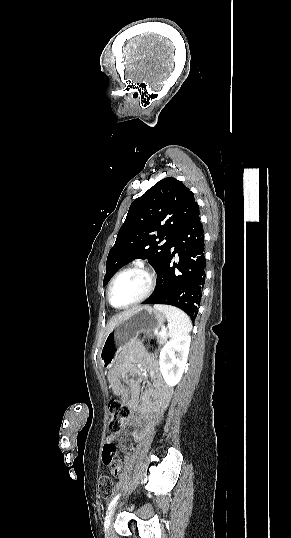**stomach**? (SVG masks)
<instances>
[{
    "label": "stomach",
    "mask_w": 291,
    "mask_h": 538,
    "mask_svg": "<svg viewBox=\"0 0 291 538\" xmlns=\"http://www.w3.org/2000/svg\"><path fill=\"white\" fill-rule=\"evenodd\" d=\"M164 321L165 315L161 311L150 306L137 308L106 335L100 350L102 367L108 370L110 363H119V352L132 344L139 333L158 330L164 326Z\"/></svg>",
    "instance_id": "obj_1"
}]
</instances>
